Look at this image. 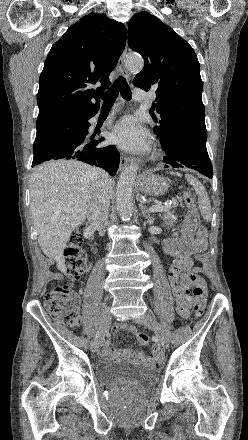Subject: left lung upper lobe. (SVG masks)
<instances>
[{"mask_svg":"<svg viewBox=\"0 0 248 440\" xmlns=\"http://www.w3.org/2000/svg\"><path fill=\"white\" fill-rule=\"evenodd\" d=\"M128 45L144 58L134 85L157 88L153 108L161 115L154 132L161 142L183 138L206 143L203 82L193 48L172 28L148 12L136 13L128 24Z\"/></svg>","mask_w":248,"mask_h":440,"instance_id":"left-lung-upper-lobe-1","label":"left lung upper lobe"}]
</instances>
